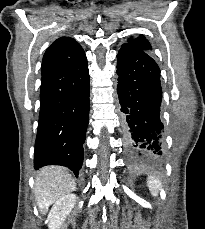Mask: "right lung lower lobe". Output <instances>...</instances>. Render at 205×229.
Returning a JSON list of instances; mask_svg holds the SVG:
<instances>
[{
	"label": "right lung lower lobe",
	"mask_w": 205,
	"mask_h": 229,
	"mask_svg": "<svg viewBox=\"0 0 205 229\" xmlns=\"http://www.w3.org/2000/svg\"><path fill=\"white\" fill-rule=\"evenodd\" d=\"M50 46L43 57L40 113L34 167L63 165L78 177L82 167L89 122V70L87 60L68 68Z\"/></svg>",
	"instance_id": "1"
}]
</instances>
